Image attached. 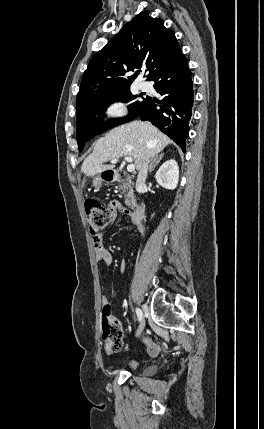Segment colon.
I'll use <instances>...</instances> for the list:
<instances>
[{"mask_svg": "<svg viewBox=\"0 0 264 429\" xmlns=\"http://www.w3.org/2000/svg\"><path fill=\"white\" fill-rule=\"evenodd\" d=\"M116 204L105 206L96 199L85 201V214L90 233L93 238L100 237L102 231L110 223ZM122 327L118 320L110 314V307L103 308L102 318V342L107 352L114 353L122 346Z\"/></svg>", "mask_w": 264, "mask_h": 429, "instance_id": "colon-1", "label": "colon"}]
</instances>
